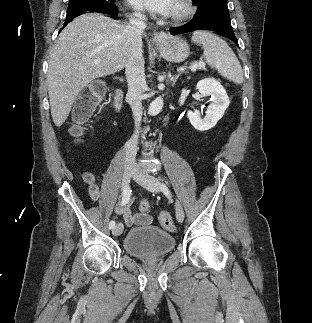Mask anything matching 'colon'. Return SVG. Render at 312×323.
Returning a JSON list of instances; mask_svg holds the SVG:
<instances>
[{
  "label": "colon",
  "instance_id": "1",
  "mask_svg": "<svg viewBox=\"0 0 312 323\" xmlns=\"http://www.w3.org/2000/svg\"><path fill=\"white\" fill-rule=\"evenodd\" d=\"M106 95L105 89L101 81H96L93 83L92 87L83 92V98L85 101H88L87 108L88 110L84 113V116L90 113L91 108L100 100H102ZM84 116L78 117V124L73 127L72 138L76 140L81 134V127L85 123L86 119ZM150 209V204L147 200H141L139 202V210L141 212H147ZM159 220H161L160 225L163 229L168 232L175 231V225L173 219L166 213L162 212L159 215Z\"/></svg>",
  "mask_w": 312,
  "mask_h": 323
}]
</instances>
